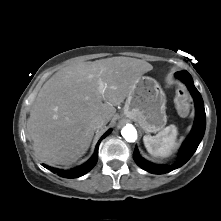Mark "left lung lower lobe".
Instances as JSON below:
<instances>
[{"mask_svg":"<svg viewBox=\"0 0 221 221\" xmlns=\"http://www.w3.org/2000/svg\"><path fill=\"white\" fill-rule=\"evenodd\" d=\"M175 77L184 82L194 98L195 103V121L190 135L186 138L179 151L177 161L169 166L157 165L143 159L135 147L133 158L137 165L142 169L153 174H164L183 166L194 154L200 144L206 127V115L203 99L195 88L191 75L187 71L175 73Z\"/></svg>","mask_w":221,"mask_h":221,"instance_id":"1","label":"left lung lower lobe"}]
</instances>
